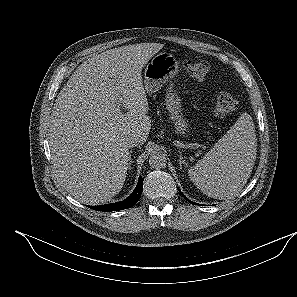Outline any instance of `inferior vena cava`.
I'll use <instances>...</instances> for the list:
<instances>
[{
	"mask_svg": "<svg viewBox=\"0 0 297 297\" xmlns=\"http://www.w3.org/2000/svg\"><path fill=\"white\" fill-rule=\"evenodd\" d=\"M140 138L139 136L135 134H130L126 139H125V144L127 147H135L140 144Z\"/></svg>",
	"mask_w": 297,
	"mask_h": 297,
	"instance_id": "602c4592",
	"label": "inferior vena cava"
}]
</instances>
